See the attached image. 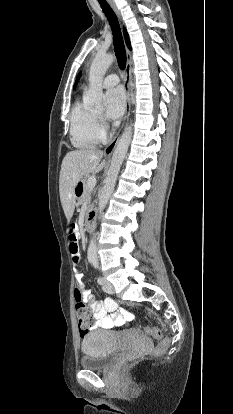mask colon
I'll return each mask as SVG.
<instances>
[{"label":"colon","instance_id":"colon-1","mask_svg":"<svg viewBox=\"0 0 233 414\" xmlns=\"http://www.w3.org/2000/svg\"><path fill=\"white\" fill-rule=\"evenodd\" d=\"M77 226L72 223L68 226L67 236L69 243V250L72 253L74 250L78 251V236L76 235ZM76 290V289H75ZM75 313L78 321L79 332L81 336H84L94 326V316L91 313L88 303L82 294H77L75 291ZM146 334L153 339L160 340L162 338V332L157 327L140 326ZM164 345L160 347L163 349Z\"/></svg>","mask_w":233,"mask_h":414}]
</instances>
